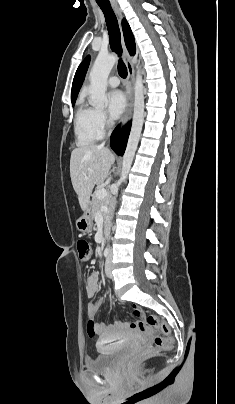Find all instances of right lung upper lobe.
<instances>
[{
    "label": "right lung upper lobe",
    "mask_w": 235,
    "mask_h": 404,
    "mask_svg": "<svg viewBox=\"0 0 235 404\" xmlns=\"http://www.w3.org/2000/svg\"><path fill=\"white\" fill-rule=\"evenodd\" d=\"M122 29H123L126 47L129 51L130 55H134L135 54L134 36L131 32L129 24L127 23V21L125 19L122 20ZM89 62H90V56H87L77 69V72L75 74L73 84H72V93H71L72 102H75V100L77 98L79 90L84 81L85 74H86L87 68L89 66Z\"/></svg>",
    "instance_id": "obj_1"
}]
</instances>
